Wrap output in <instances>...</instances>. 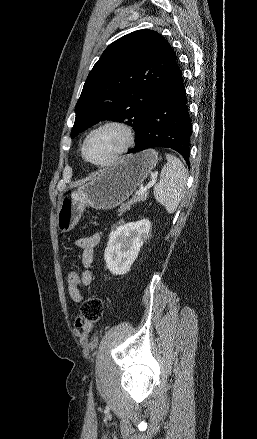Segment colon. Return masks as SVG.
I'll return each mask as SVG.
<instances>
[{"instance_id":"5ec220e1","label":"colon","mask_w":257,"mask_h":439,"mask_svg":"<svg viewBox=\"0 0 257 439\" xmlns=\"http://www.w3.org/2000/svg\"><path fill=\"white\" fill-rule=\"evenodd\" d=\"M80 274L76 271L67 273V282L71 286H76L79 282ZM81 318L86 323L98 322L103 314V302L96 296H90L84 300L80 308Z\"/></svg>"}]
</instances>
